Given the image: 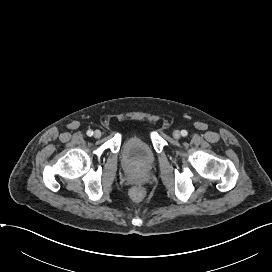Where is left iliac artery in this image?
<instances>
[{
	"label": "left iliac artery",
	"instance_id": "1",
	"mask_svg": "<svg viewBox=\"0 0 272 272\" xmlns=\"http://www.w3.org/2000/svg\"><path fill=\"white\" fill-rule=\"evenodd\" d=\"M187 134H188V132H187L186 130H182V131H181V135H182L183 137H186Z\"/></svg>",
	"mask_w": 272,
	"mask_h": 272
}]
</instances>
